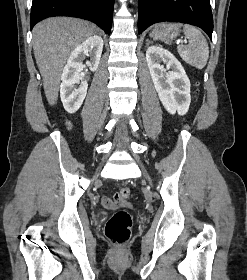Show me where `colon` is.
Returning <instances> with one entry per match:
<instances>
[{"label":"colon","instance_id":"colon-1","mask_svg":"<svg viewBox=\"0 0 247 280\" xmlns=\"http://www.w3.org/2000/svg\"><path fill=\"white\" fill-rule=\"evenodd\" d=\"M130 195L131 190L123 187L115 194V197L117 201L124 202ZM131 229L132 216L127 210L121 209L108 219L105 225V236L113 245L121 246L130 239Z\"/></svg>","mask_w":247,"mask_h":280}]
</instances>
